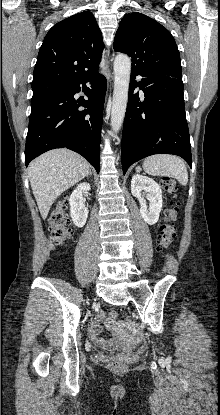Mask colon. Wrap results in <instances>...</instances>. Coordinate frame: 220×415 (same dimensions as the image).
I'll return each instance as SVG.
<instances>
[{
    "instance_id": "5ec220e1",
    "label": "colon",
    "mask_w": 220,
    "mask_h": 415,
    "mask_svg": "<svg viewBox=\"0 0 220 415\" xmlns=\"http://www.w3.org/2000/svg\"><path fill=\"white\" fill-rule=\"evenodd\" d=\"M161 184L163 188L169 193H174L176 190V183L171 178H163ZM67 210L68 202L66 200H61L52 210L49 218L50 236L52 241L57 244H64L71 237L72 230L68 222ZM176 218V208H169L165 211L164 218L159 229V246L162 249L168 248L173 241L175 235L174 223ZM107 317L110 321L116 320L118 317L117 310L109 309L107 311ZM110 365L112 368L117 370H123L127 366L124 361L119 359L112 361Z\"/></svg>"
}]
</instances>
